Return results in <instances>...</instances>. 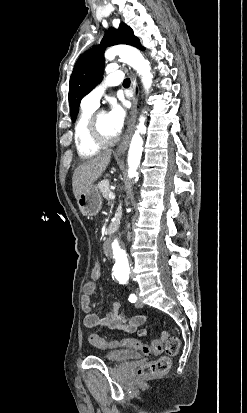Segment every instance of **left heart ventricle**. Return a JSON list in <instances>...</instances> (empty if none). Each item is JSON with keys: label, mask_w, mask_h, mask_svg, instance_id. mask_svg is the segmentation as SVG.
I'll list each match as a JSON object with an SVG mask.
<instances>
[{"label": "left heart ventricle", "mask_w": 247, "mask_h": 413, "mask_svg": "<svg viewBox=\"0 0 247 413\" xmlns=\"http://www.w3.org/2000/svg\"><path fill=\"white\" fill-rule=\"evenodd\" d=\"M99 122L102 126L106 127V128H102L100 126V130H101L102 135L106 138H109V139L114 138V136L111 133V131L109 130V128L105 125V117L104 116H102V115L99 116Z\"/></svg>", "instance_id": "b2bd125f"}]
</instances>
